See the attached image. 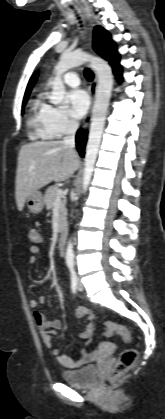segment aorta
Listing matches in <instances>:
<instances>
[{"label":"aorta","instance_id":"aorta-1","mask_svg":"<svg viewBox=\"0 0 165 419\" xmlns=\"http://www.w3.org/2000/svg\"><path fill=\"white\" fill-rule=\"evenodd\" d=\"M85 62H90L91 67L95 70L98 77V85L96 88L90 131L84 159L83 192H86L90 184L105 126L107 109L113 88V75L111 67L103 59L82 51H74L71 53L64 52L55 66V77L52 81V92L49 96L50 102L53 105L60 104L64 100L65 96V86L62 81V74L73 67L82 65ZM65 259L68 264H73L74 262L73 243L71 240L67 243Z\"/></svg>","mask_w":165,"mask_h":419}]
</instances>
